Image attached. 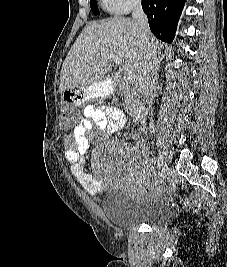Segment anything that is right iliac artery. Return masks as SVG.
Masks as SVG:
<instances>
[{
	"instance_id": "obj_1",
	"label": "right iliac artery",
	"mask_w": 227,
	"mask_h": 267,
	"mask_svg": "<svg viewBox=\"0 0 227 267\" xmlns=\"http://www.w3.org/2000/svg\"><path fill=\"white\" fill-rule=\"evenodd\" d=\"M155 164H156V159L153 158L152 161H151V164H150L151 169H154V168H155ZM158 167H159V166H158ZM159 174H160V172H159Z\"/></svg>"
}]
</instances>
